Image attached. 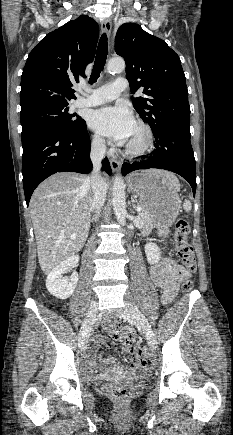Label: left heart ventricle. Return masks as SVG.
<instances>
[{
    "label": "left heart ventricle",
    "mask_w": 233,
    "mask_h": 435,
    "mask_svg": "<svg viewBox=\"0 0 233 435\" xmlns=\"http://www.w3.org/2000/svg\"><path fill=\"white\" fill-rule=\"evenodd\" d=\"M144 140V134L142 130H140L138 127L134 126L129 138L127 139L126 144H130L133 146H137L141 144Z\"/></svg>",
    "instance_id": "left-heart-ventricle-1"
}]
</instances>
